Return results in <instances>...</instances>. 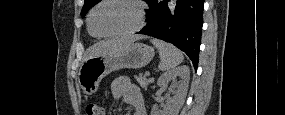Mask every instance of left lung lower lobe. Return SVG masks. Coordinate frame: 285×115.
Returning <instances> with one entry per match:
<instances>
[{"mask_svg":"<svg viewBox=\"0 0 285 115\" xmlns=\"http://www.w3.org/2000/svg\"><path fill=\"white\" fill-rule=\"evenodd\" d=\"M147 25L138 33L170 42L184 51L195 70L203 25L202 0H146Z\"/></svg>","mask_w":285,"mask_h":115,"instance_id":"0a47b994","label":"left lung lower lobe"}]
</instances>
